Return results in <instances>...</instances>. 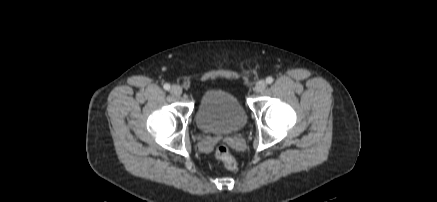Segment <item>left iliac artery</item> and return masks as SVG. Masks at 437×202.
<instances>
[{"instance_id":"obj_1","label":"left iliac artery","mask_w":437,"mask_h":202,"mask_svg":"<svg viewBox=\"0 0 437 202\" xmlns=\"http://www.w3.org/2000/svg\"><path fill=\"white\" fill-rule=\"evenodd\" d=\"M266 82H267L268 84H271V83L273 82V78H272L271 76L267 77V78H266Z\"/></svg>"}]
</instances>
